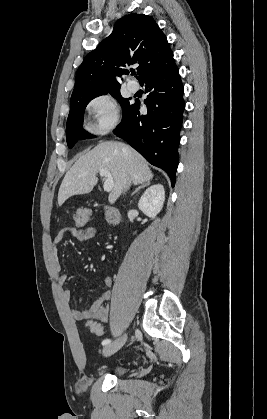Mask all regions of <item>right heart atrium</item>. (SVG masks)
Segmentation results:
<instances>
[{"mask_svg":"<svg viewBox=\"0 0 267 419\" xmlns=\"http://www.w3.org/2000/svg\"><path fill=\"white\" fill-rule=\"evenodd\" d=\"M87 111L92 117L89 131L103 135L112 131L120 121V109L117 101L109 94H101L91 99Z\"/></svg>","mask_w":267,"mask_h":419,"instance_id":"right-heart-atrium-1","label":"right heart atrium"}]
</instances>
